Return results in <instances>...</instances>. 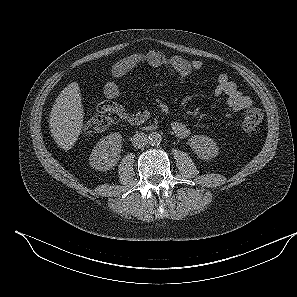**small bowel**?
<instances>
[{"label": "small bowel", "mask_w": 297, "mask_h": 297, "mask_svg": "<svg viewBox=\"0 0 297 297\" xmlns=\"http://www.w3.org/2000/svg\"><path fill=\"white\" fill-rule=\"evenodd\" d=\"M140 63H146L149 66L166 70L178 78L180 86H183L185 79L189 75L204 67L202 60L188 61L180 56H169L158 50L127 55L112 66L111 75L113 80L108 81L104 85L106 100L98 105V111L111 112L120 120L133 125L141 124L149 118L150 113L146 109L130 114L125 111L123 106L115 102L122 95V89L115 79L126 74ZM217 81L214 94L216 96H226V104L230 113L242 111L252 105L251 98L243 94L226 73L220 74ZM171 127L176 136L181 139L187 138L191 134L189 127L181 121L172 122Z\"/></svg>", "instance_id": "c3829d8e"}]
</instances>
